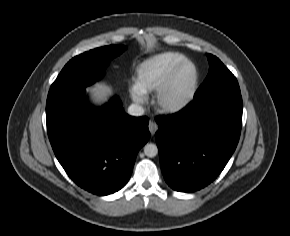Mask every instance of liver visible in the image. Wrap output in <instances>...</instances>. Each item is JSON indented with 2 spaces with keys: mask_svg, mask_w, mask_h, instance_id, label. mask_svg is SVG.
I'll return each mask as SVG.
<instances>
[{
  "mask_svg": "<svg viewBox=\"0 0 290 236\" xmlns=\"http://www.w3.org/2000/svg\"><path fill=\"white\" fill-rule=\"evenodd\" d=\"M89 90L92 92V102L96 104L106 101L107 95L111 92V87L103 83H97Z\"/></svg>",
  "mask_w": 290,
  "mask_h": 236,
  "instance_id": "1",
  "label": "liver"
}]
</instances>
